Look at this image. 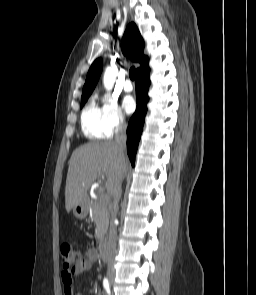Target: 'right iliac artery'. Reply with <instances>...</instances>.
<instances>
[{
  "mask_svg": "<svg viewBox=\"0 0 256 295\" xmlns=\"http://www.w3.org/2000/svg\"><path fill=\"white\" fill-rule=\"evenodd\" d=\"M103 287L105 290H109V282L107 278H104L103 280Z\"/></svg>",
  "mask_w": 256,
  "mask_h": 295,
  "instance_id": "right-iliac-artery-1",
  "label": "right iliac artery"
}]
</instances>
